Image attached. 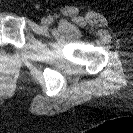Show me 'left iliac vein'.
Wrapping results in <instances>:
<instances>
[{"label":"left iliac vein","instance_id":"obj_1","mask_svg":"<svg viewBox=\"0 0 133 133\" xmlns=\"http://www.w3.org/2000/svg\"><path fill=\"white\" fill-rule=\"evenodd\" d=\"M41 23L43 26H48L50 24V20H49V18H43L41 20Z\"/></svg>","mask_w":133,"mask_h":133}]
</instances>
